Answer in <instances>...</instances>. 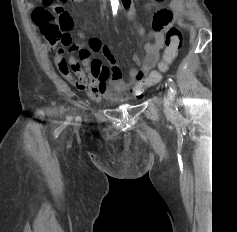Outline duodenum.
<instances>
[{"label":"duodenum","instance_id":"obj_1","mask_svg":"<svg viewBox=\"0 0 237 232\" xmlns=\"http://www.w3.org/2000/svg\"><path fill=\"white\" fill-rule=\"evenodd\" d=\"M100 1H104V0H100ZM122 4L124 7H129L131 4V0H122Z\"/></svg>","mask_w":237,"mask_h":232}]
</instances>
